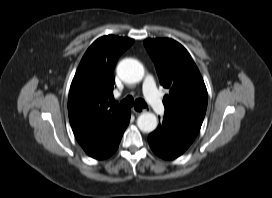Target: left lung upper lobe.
<instances>
[{
  "label": "left lung upper lobe",
  "mask_w": 272,
  "mask_h": 198,
  "mask_svg": "<svg viewBox=\"0 0 272 198\" xmlns=\"http://www.w3.org/2000/svg\"><path fill=\"white\" fill-rule=\"evenodd\" d=\"M160 84L169 89L164 96L165 114L202 125L207 108V90L188 51L169 39H146Z\"/></svg>",
  "instance_id": "1"
}]
</instances>
